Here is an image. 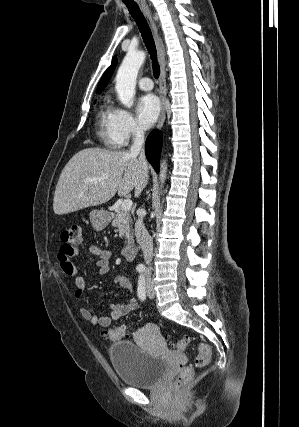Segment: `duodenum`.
Instances as JSON below:
<instances>
[{"label": "duodenum", "mask_w": 299, "mask_h": 427, "mask_svg": "<svg viewBox=\"0 0 299 427\" xmlns=\"http://www.w3.org/2000/svg\"><path fill=\"white\" fill-rule=\"evenodd\" d=\"M136 250H137L136 242L129 241L122 248V256L125 259H132L136 254Z\"/></svg>", "instance_id": "1"}]
</instances>
